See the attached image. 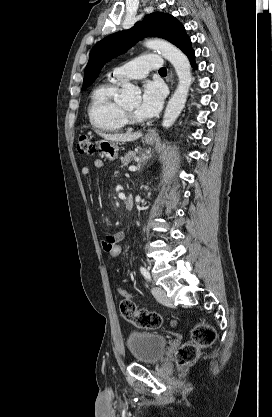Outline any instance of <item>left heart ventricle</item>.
<instances>
[{
    "instance_id": "1",
    "label": "left heart ventricle",
    "mask_w": 272,
    "mask_h": 417,
    "mask_svg": "<svg viewBox=\"0 0 272 417\" xmlns=\"http://www.w3.org/2000/svg\"><path fill=\"white\" fill-rule=\"evenodd\" d=\"M125 108L133 112L136 108V105H127Z\"/></svg>"
}]
</instances>
